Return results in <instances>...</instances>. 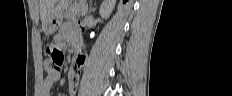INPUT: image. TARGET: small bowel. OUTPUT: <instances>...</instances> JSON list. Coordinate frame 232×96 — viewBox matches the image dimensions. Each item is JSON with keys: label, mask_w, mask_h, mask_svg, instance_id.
<instances>
[{"label": "small bowel", "mask_w": 232, "mask_h": 96, "mask_svg": "<svg viewBox=\"0 0 232 96\" xmlns=\"http://www.w3.org/2000/svg\"><path fill=\"white\" fill-rule=\"evenodd\" d=\"M84 26L78 25L75 20H69L62 24L59 33L55 35L54 42L57 46H64L68 44L84 43L85 39L80 38L84 34ZM49 53V49H48ZM85 64V57L82 53L76 55L74 66L70 69L68 74V84L71 95H75L78 87L81 69ZM49 62H45V68L48 71ZM50 73V72H49ZM60 72L50 73L42 81L40 86V95L49 96L53 84L60 79Z\"/></svg>", "instance_id": "1"}]
</instances>
